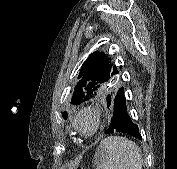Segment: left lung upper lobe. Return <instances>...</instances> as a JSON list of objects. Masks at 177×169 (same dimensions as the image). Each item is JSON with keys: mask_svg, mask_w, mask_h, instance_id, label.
I'll list each match as a JSON object with an SVG mask.
<instances>
[{"mask_svg": "<svg viewBox=\"0 0 177 169\" xmlns=\"http://www.w3.org/2000/svg\"><path fill=\"white\" fill-rule=\"evenodd\" d=\"M78 79L71 100L74 105L108 92L113 98L118 91L119 70L105 54L94 52L83 63Z\"/></svg>", "mask_w": 177, "mask_h": 169, "instance_id": "left-lung-upper-lobe-1", "label": "left lung upper lobe"}]
</instances>
